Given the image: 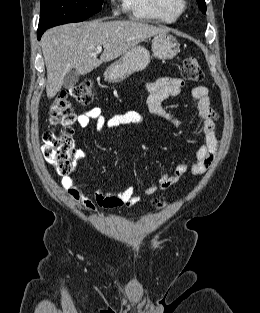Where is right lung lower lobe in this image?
<instances>
[{
	"label": "right lung lower lobe",
	"mask_w": 260,
	"mask_h": 313,
	"mask_svg": "<svg viewBox=\"0 0 260 313\" xmlns=\"http://www.w3.org/2000/svg\"><path fill=\"white\" fill-rule=\"evenodd\" d=\"M45 30H46L45 28H38V31H37L38 39H40L41 35L43 34Z\"/></svg>",
	"instance_id": "obj_1"
}]
</instances>
